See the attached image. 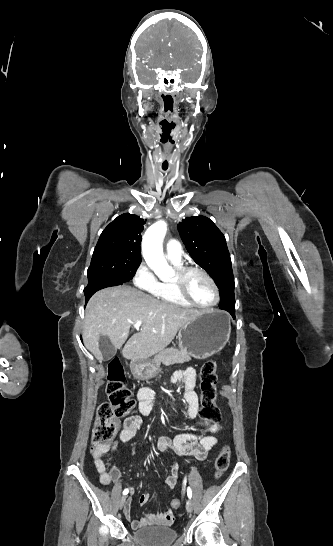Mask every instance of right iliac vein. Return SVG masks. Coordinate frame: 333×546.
I'll use <instances>...</instances> for the list:
<instances>
[{
	"mask_svg": "<svg viewBox=\"0 0 333 546\" xmlns=\"http://www.w3.org/2000/svg\"><path fill=\"white\" fill-rule=\"evenodd\" d=\"M126 500V496H122L119 500V507L122 508Z\"/></svg>",
	"mask_w": 333,
	"mask_h": 546,
	"instance_id": "obj_1",
	"label": "right iliac vein"
}]
</instances>
